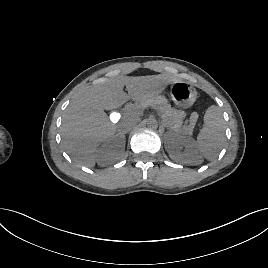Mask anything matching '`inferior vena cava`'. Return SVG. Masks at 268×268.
<instances>
[{
	"label": "inferior vena cava",
	"mask_w": 268,
	"mask_h": 268,
	"mask_svg": "<svg viewBox=\"0 0 268 268\" xmlns=\"http://www.w3.org/2000/svg\"><path fill=\"white\" fill-rule=\"evenodd\" d=\"M137 121L138 119L134 116L126 117L118 124V130L127 133L136 125Z\"/></svg>",
	"instance_id": "obj_1"
}]
</instances>
